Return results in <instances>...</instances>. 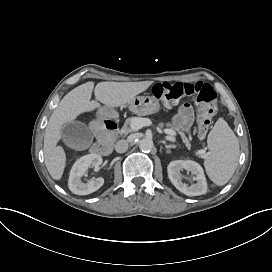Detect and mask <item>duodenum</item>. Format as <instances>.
<instances>
[{
    "label": "duodenum",
    "instance_id": "1",
    "mask_svg": "<svg viewBox=\"0 0 272 272\" xmlns=\"http://www.w3.org/2000/svg\"><path fill=\"white\" fill-rule=\"evenodd\" d=\"M93 131L97 141L91 149L92 152L98 155L109 154L118 131L116 122L111 119L99 118L93 125Z\"/></svg>",
    "mask_w": 272,
    "mask_h": 272
}]
</instances>
